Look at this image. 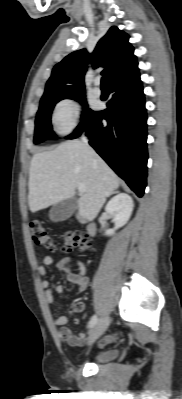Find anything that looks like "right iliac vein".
Masks as SVG:
<instances>
[{
  "instance_id": "obj_1",
  "label": "right iliac vein",
  "mask_w": 182,
  "mask_h": 399,
  "mask_svg": "<svg viewBox=\"0 0 182 399\" xmlns=\"http://www.w3.org/2000/svg\"><path fill=\"white\" fill-rule=\"evenodd\" d=\"M110 323V318L108 315H104L101 317L98 322L95 324L94 328L92 329L89 338H88V345L93 344L107 329Z\"/></svg>"
}]
</instances>
